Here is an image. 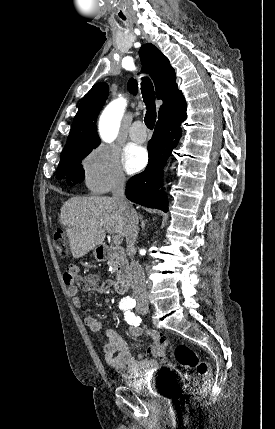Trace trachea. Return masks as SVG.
I'll use <instances>...</instances> for the list:
<instances>
[{
  "label": "trachea",
  "instance_id": "3493384b",
  "mask_svg": "<svg viewBox=\"0 0 275 429\" xmlns=\"http://www.w3.org/2000/svg\"><path fill=\"white\" fill-rule=\"evenodd\" d=\"M141 91L147 109L144 121L149 129H153L156 121L155 93L153 84L149 79L143 78Z\"/></svg>",
  "mask_w": 275,
  "mask_h": 429
}]
</instances>
